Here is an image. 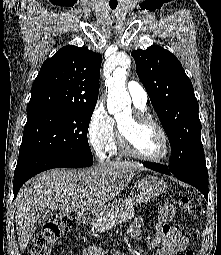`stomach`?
Here are the masks:
<instances>
[{"label":"stomach","mask_w":221,"mask_h":255,"mask_svg":"<svg viewBox=\"0 0 221 255\" xmlns=\"http://www.w3.org/2000/svg\"><path fill=\"white\" fill-rule=\"evenodd\" d=\"M166 188L167 185L164 180L151 175L146 176L138 183V190L140 192L142 202L158 197L160 194L165 192ZM121 204V199L115 200L110 206L101 210V216L106 210L120 208Z\"/></svg>","instance_id":"0dacf381"}]
</instances>
